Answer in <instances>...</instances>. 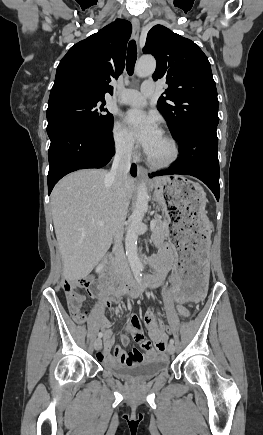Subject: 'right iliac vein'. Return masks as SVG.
Returning a JSON list of instances; mask_svg holds the SVG:
<instances>
[{"instance_id": "right-iliac-vein-1", "label": "right iliac vein", "mask_w": 263, "mask_h": 435, "mask_svg": "<svg viewBox=\"0 0 263 435\" xmlns=\"http://www.w3.org/2000/svg\"><path fill=\"white\" fill-rule=\"evenodd\" d=\"M102 347V341L100 338H97L94 342V348L95 350H100Z\"/></svg>"}]
</instances>
